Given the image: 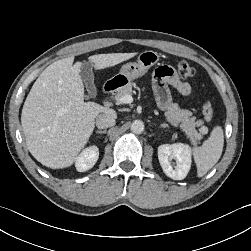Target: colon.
<instances>
[{"mask_svg": "<svg viewBox=\"0 0 251 251\" xmlns=\"http://www.w3.org/2000/svg\"><path fill=\"white\" fill-rule=\"evenodd\" d=\"M177 72L182 78H190L195 74V69L188 62L181 61L177 66ZM202 112L205 120L210 122L214 114L210 101L204 102L202 106Z\"/></svg>", "mask_w": 251, "mask_h": 251, "instance_id": "5ec220e1", "label": "colon"}]
</instances>
